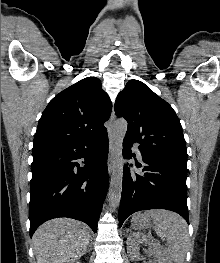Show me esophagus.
<instances>
[{
  "instance_id": "34e87169",
  "label": "esophagus",
  "mask_w": 220,
  "mask_h": 263,
  "mask_svg": "<svg viewBox=\"0 0 220 263\" xmlns=\"http://www.w3.org/2000/svg\"><path fill=\"white\" fill-rule=\"evenodd\" d=\"M115 121V113L114 110L112 111L111 117H110V127L108 130L109 133V154H108V172L111 175L115 163V137L113 133V124Z\"/></svg>"
}]
</instances>
